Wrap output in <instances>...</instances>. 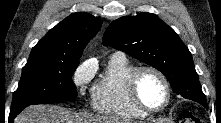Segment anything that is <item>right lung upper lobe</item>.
Returning a JSON list of instances; mask_svg holds the SVG:
<instances>
[{
	"mask_svg": "<svg viewBox=\"0 0 221 123\" xmlns=\"http://www.w3.org/2000/svg\"><path fill=\"white\" fill-rule=\"evenodd\" d=\"M101 24L100 18L86 12L73 13L52 28L33 47L30 57L77 60Z\"/></svg>",
	"mask_w": 221,
	"mask_h": 123,
	"instance_id": "obj_1",
	"label": "right lung upper lobe"
}]
</instances>
